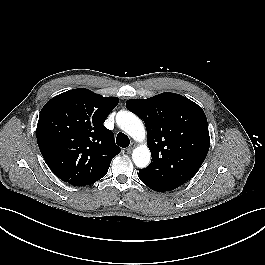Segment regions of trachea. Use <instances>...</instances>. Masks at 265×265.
Returning a JSON list of instances; mask_svg holds the SVG:
<instances>
[{"mask_svg": "<svg viewBox=\"0 0 265 265\" xmlns=\"http://www.w3.org/2000/svg\"><path fill=\"white\" fill-rule=\"evenodd\" d=\"M116 143L120 147L126 148V147L129 146L130 140H129V138L124 133H118V135L116 137Z\"/></svg>", "mask_w": 265, "mask_h": 265, "instance_id": "trachea-1", "label": "trachea"}]
</instances>
